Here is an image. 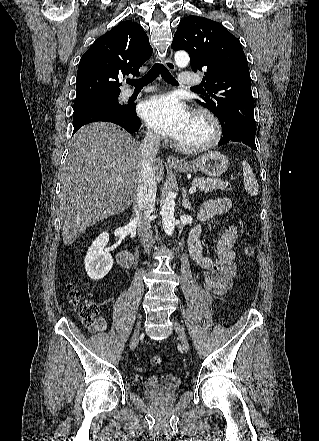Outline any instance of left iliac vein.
<instances>
[{"instance_id":"1","label":"left iliac vein","mask_w":319,"mask_h":441,"mask_svg":"<svg viewBox=\"0 0 319 441\" xmlns=\"http://www.w3.org/2000/svg\"><path fill=\"white\" fill-rule=\"evenodd\" d=\"M173 322H174V328L180 337L182 345L184 347L188 346L187 337H186V334L184 332L183 327L181 326V324L179 322H177V321H173Z\"/></svg>"}]
</instances>
